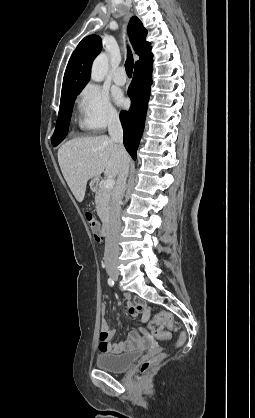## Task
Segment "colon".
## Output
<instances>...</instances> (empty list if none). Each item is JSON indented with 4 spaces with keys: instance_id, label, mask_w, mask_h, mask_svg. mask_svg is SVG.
<instances>
[{
    "instance_id": "colon-1",
    "label": "colon",
    "mask_w": 255,
    "mask_h": 418,
    "mask_svg": "<svg viewBox=\"0 0 255 418\" xmlns=\"http://www.w3.org/2000/svg\"><path fill=\"white\" fill-rule=\"evenodd\" d=\"M85 217L93 233L94 238L97 241H100L102 239L101 231H100V226L96 218L90 212H86ZM149 328L154 336L161 338V339H166L169 337V332L166 331L165 329H168L169 331H175L177 327H176V323L174 321L172 314L168 312H161V313L156 314L149 321ZM185 339H186V335L185 333L182 332L178 338L176 345L181 346L185 342ZM163 356L164 355L161 354L156 357L143 361L140 365V371L146 372L151 366H153L155 363L160 361L163 358Z\"/></svg>"
}]
</instances>
